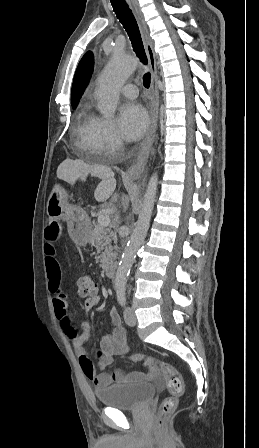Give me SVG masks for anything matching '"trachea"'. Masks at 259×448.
Returning <instances> with one entry per match:
<instances>
[{"label": "trachea", "instance_id": "3493384b", "mask_svg": "<svg viewBox=\"0 0 259 448\" xmlns=\"http://www.w3.org/2000/svg\"><path fill=\"white\" fill-rule=\"evenodd\" d=\"M110 1L117 15V18L120 20L128 36L130 37L134 52L136 53L140 61L143 64L147 65V56L143 46L139 27L137 25V22L135 20L132 11L130 10L128 4L126 3V0H110ZM143 85L145 88L150 87L149 72L145 73V75L143 76Z\"/></svg>", "mask_w": 259, "mask_h": 448}]
</instances>
